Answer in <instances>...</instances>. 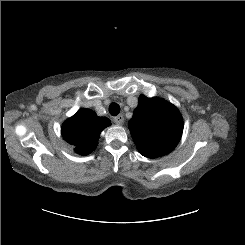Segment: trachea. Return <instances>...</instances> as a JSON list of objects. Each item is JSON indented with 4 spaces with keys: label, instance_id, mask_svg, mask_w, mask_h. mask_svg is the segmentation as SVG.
<instances>
[{
    "label": "trachea",
    "instance_id": "trachea-1",
    "mask_svg": "<svg viewBox=\"0 0 245 245\" xmlns=\"http://www.w3.org/2000/svg\"><path fill=\"white\" fill-rule=\"evenodd\" d=\"M109 112L112 116H116L120 112V106L117 103H111L109 106Z\"/></svg>",
    "mask_w": 245,
    "mask_h": 245
}]
</instances>
